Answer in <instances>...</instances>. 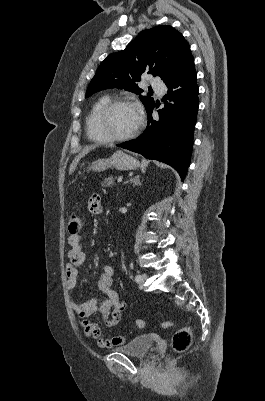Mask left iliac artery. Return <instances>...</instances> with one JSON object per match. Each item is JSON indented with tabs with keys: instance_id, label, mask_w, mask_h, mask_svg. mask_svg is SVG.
Instances as JSON below:
<instances>
[{
	"instance_id": "1",
	"label": "left iliac artery",
	"mask_w": 265,
	"mask_h": 401,
	"mask_svg": "<svg viewBox=\"0 0 265 401\" xmlns=\"http://www.w3.org/2000/svg\"><path fill=\"white\" fill-rule=\"evenodd\" d=\"M135 281H136V282H139V277H138V275H136Z\"/></svg>"
}]
</instances>
